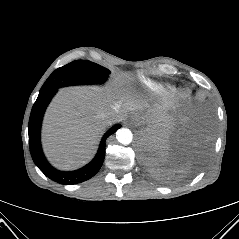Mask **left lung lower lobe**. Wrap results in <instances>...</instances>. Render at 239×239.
<instances>
[{"instance_id":"1","label":"left lung lower lobe","mask_w":239,"mask_h":239,"mask_svg":"<svg viewBox=\"0 0 239 239\" xmlns=\"http://www.w3.org/2000/svg\"><path fill=\"white\" fill-rule=\"evenodd\" d=\"M169 141L166 138L146 137L142 140L140 151L144 161L154 171L162 164L168 151Z\"/></svg>"}]
</instances>
